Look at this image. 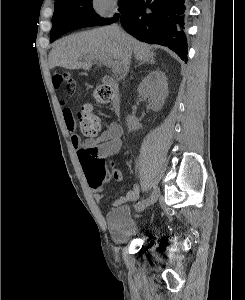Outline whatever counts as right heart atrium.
Masks as SVG:
<instances>
[{"label":"right heart atrium","mask_w":245,"mask_h":300,"mask_svg":"<svg viewBox=\"0 0 245 300\" xmlns=\"http://www.w3.org/2000/svg\"><path fill=\"white\" fill-rule=\"evenodd\" d=\"M91 10L99 17H111L117 11V0H91Z\"/></svg>","instance_id":"right-heart-atrium-1"}]
</instances>
